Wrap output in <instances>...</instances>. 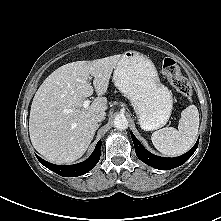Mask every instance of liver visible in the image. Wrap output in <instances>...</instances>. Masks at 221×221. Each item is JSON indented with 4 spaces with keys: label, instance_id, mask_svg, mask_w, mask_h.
Masks as SVG:
<instances>
[{
    "label": "liver",
    "instance_id": "1",
    "mask_svg": "<svg viewBox=\"0 0 221 221\" xmlns=\"http://www.w3.org/2000/svg\"><path fill=\"white\" fill-rule=\"evenodd\" d=\"M120 58L113 55L68 63L41 84L31 105L29 133L32 145L46 160L71 163L86 152L99 125L95 117L108 108L103 95ZM94 90L98 97L84 108L83 101Z\"/></svg>",
    "mask_w": 221,
    "mask_h": 221
}]
</instances>
